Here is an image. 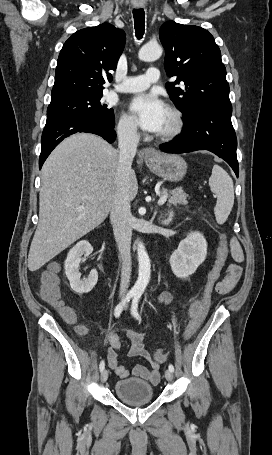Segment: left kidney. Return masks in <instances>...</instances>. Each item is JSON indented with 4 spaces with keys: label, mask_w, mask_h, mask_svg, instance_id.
I'll use <instances>...</instances> for the list:
<instances>
[{
    "label": "left kidney",
    "mask_w": 272,
    "mask_h": 455,
    "mask_svg": "<svg viewBox=\"0 0 272 455\" xmlns=\"http://www.w3.org/2000/svg\"><path fill=\"white\" fill-rule=\"evenodd\" d=\"M207 255V242L200 232H191L179 243L170 257L174 275L186 279L202 264Z\"/></svg>",
    "instance_id": "5707ae66"
}]
</instances>
